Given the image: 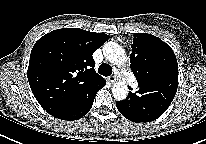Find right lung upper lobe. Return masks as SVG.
<instances>
[{
  "instance_id": "cb5924a9",
  "label": "right lung upper lobe",
  "mask_w": 206,
  "mask_h": 144,
  "mask_svg": "<svg viewBox=\"0 0 206 144\" xmlns=\"http://www.w3.org/2000/svg\"><path fill=\"white\" fill-rule=\"evenodd\" d=\"M109 36L78 28L54 30L34 45L27 71L31 90L50 115L82 101L104 79L92 54Z\"/></svg>"
}]
</instances>
